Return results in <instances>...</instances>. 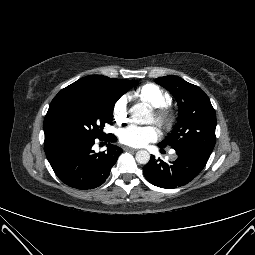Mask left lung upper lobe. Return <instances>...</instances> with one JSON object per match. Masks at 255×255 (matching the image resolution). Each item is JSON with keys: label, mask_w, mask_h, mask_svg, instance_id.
Here are the masks:
<instances>
[{"label": "left lung upper lobe", "mask_w": 255, "mask_h": 255, "mask_svg": "<svg viewBox=\"0 0 255 255\" xmlns=\"http://www.w3.org/2000/svg\"><path fill=\"white\" fill-rule=\"evenodd\" d=\"M155 81L173 94L179 106L176 126L159 145L211 154L216 142V115L205 92L174 75L160 77Z\"/></svg>", "instance_id": "obj_1"}]
</instances>
